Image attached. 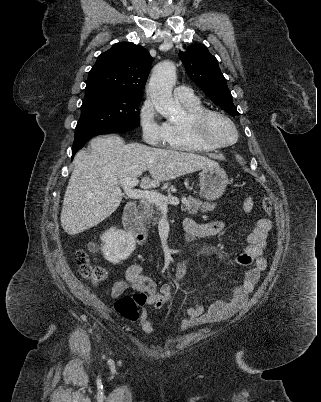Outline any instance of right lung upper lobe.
I'll use <instances>...</instances> for the list:
<instances>
[{
	"label": "right lung upper lobe",
	"mask_w": 321,
	"mask_h": 402,
	"mask_svg": "<svg viewBox=\"0 0 321 402\" xmlns=\"http://www.w3.org/2000/svg\"><path fill=\"white\" fill-rule=\"evenodd\" d=\"M152 57L139 45L117 43L100 54L89 72L85 90H106L142 97Z\"/></svg>",
	"instance_id": "right-lung-upper-lobe-1"
}]
</instances>
